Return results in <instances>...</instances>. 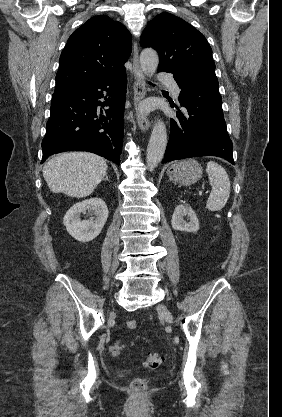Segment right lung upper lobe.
Instances as JSON below:
<instances>
[{
    "label": "right lung upper lobe",
    "mask_w": 282,
    "mask_h": 417,
    "mask_svg": "<svg viewBox=\"0 0 282 417\" xmlns=\"http://www.w3.org/2000/svg\"><path fill=\"white\" fill-rule=\"evenodd\" d=\"M131 34L107 15L90 18L68 39L61 53L55 92L125 72Z\"/></svg>",
    "instance_id": "cb5924a9"
}]
</instances>
